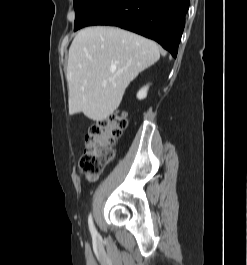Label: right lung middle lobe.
Segmentation results:
<instances>
[{"mask_svg": "<svg viewBox=\"0 0 247 265\" xmlns=\"http://www.w3.org/2000/svg\"><path fill=\"white\" fill-rule=\"evenodd\" d=\"M98 0H74L75 25L85 16Z\"/></svg>", "mask_w": 247, "mask_h": 265, "instance_id": "1", "label": "right lung middle lobe"}]
</instances>
